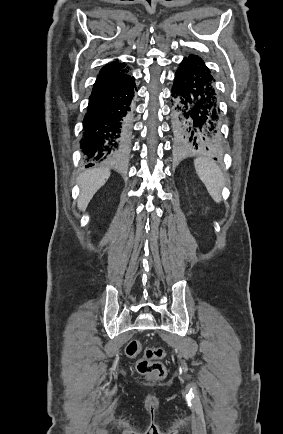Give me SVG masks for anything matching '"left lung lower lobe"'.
Wrapping results in <instances>:
<instances>
[{"mask_svg": "<svg viewBox=\"0 0 283 434\" xmlns=\"http://www.w3.org/2000/svg\"><path fill=\"white\" fill-rule=\"evenodd\" d=\"M171 102L176 146L218 153L220 110L211 72L184 58L175 73Z\"/></svg>", "mask_w": 283, "mask_h": 434, "instance_id": "left-lung-lower-lobe-1", "label": "left lung lower lobe"}]
</instances>
